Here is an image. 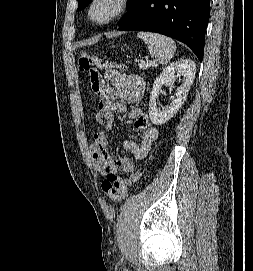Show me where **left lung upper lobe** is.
I'll use <instances>...</instances> for the list:
<instances>
[{
    "instance_id": "left-lung-upper-lobe-1",
    "label": "left lung upper lobe",
    "mask_w": 253,
    "mask_h": 271,
    "mask_svg": "<svg viewBox=\"0 0 253 271\" xmlns=\"http://www.w3.org/2000/svg\"><path fill=\"white\" fill-rule=\"evenodd\" d=\"M90 1L91 0H78L79 6L77 8V11H81L82 9H84L90 3ZM134 3H135V0H130V2L127 5V13L122 17L120 23L123 22L128 17V15L131 13V11L134 7Z\"/></svg>"
}]
</instances>
